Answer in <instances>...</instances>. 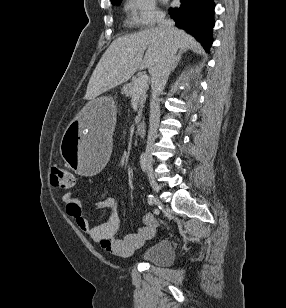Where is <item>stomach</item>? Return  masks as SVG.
<instances>
[{
  "mask_svg": "<svg viewBox=\"0 0 286 308\" xmlns=\"http://www.w3.org/2000/svg\"><path fill=\"white\" fill-rule=\"evenodd\" d=\"M119 109L116 97H93L72 122H65L64 140L58 149L64 164L78 174H101L109 159L111 133H118Z\"/></svg>",
  "mask_w": 286,
  "mask_h": 308,
  "instance_id": "0dacf381",
  "label": "stomach"
}]
</instances>
